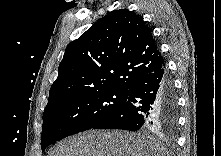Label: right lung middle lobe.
<instances>
[{"instance_id": "dd1d6c3e", "label": "right lung middle lobe", "mask_w": 221, "mask_h": 156, "mask_svg": "<svg viewBox=\"0 0 221 156\" xmlns=\"http://www.w3.org/2000/svg\"><path fill=\"white\" fill-rule=\"evenodd\" d=\"M127 99V91L103 90L73 95L47 107L43 114L42 151L67 136L93 128Z\"/></svg>"}]
</instances>
